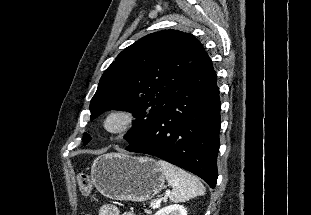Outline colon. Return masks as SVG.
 <instances>
[{
    "instance_id": "obj_1",
    "label": "colon",
    "mask_w": 311,
    "mask_h": 215,
    "mask_svg": "<svg viewBox=\"0 0 311 215\" xmlns=\"http://www.w3.org/2000/svg\"><path fill=\"white\" fill-rule=\"evenodd\" d=\"M78 187L83 195H89L92 191V183L90 177L86 173H80L78 175Z\"/></svg>"
}]
</instances>
